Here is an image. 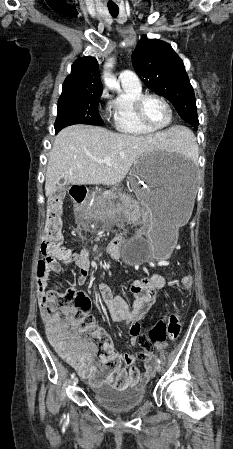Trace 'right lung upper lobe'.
Listing matches in <instances>:
<instances>
[{
  "label": "right lung upper lobe",
  "instance_id": "cb5924a9",
  "mask_svg": "<svg viewBox=\"0 0 233 449\" xmlns=\"http://www.w3.org/2000/svg\"><path fill=\"white\" fill-rule=\"evenodd\" d=\"M102 93V83L96 58L85 56L72 65L65 79L61 96Z\"/></svg>",
  "mask_w": 233,
  "mask_h": 449
}]
</instances>
